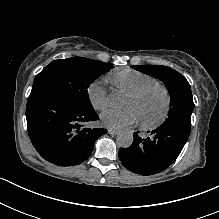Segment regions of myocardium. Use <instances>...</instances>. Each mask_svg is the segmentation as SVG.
<instances>
[{"label": "myocardium", "instance_id": "f54148a6", "mask_svg": "<svg viewBox=\"0 0 219 219\" xmlns=\"http://www.w3.org/2000/svg\"><path fill=\"white\" fill-rule=\"evenodd\" d=\"M154 89H159L163 92L164 97H165V108H164V112H163L161 118L158 121H156L155 123H146V122L140 120V125L145 130L158 129L166 122V120L170 114L171 102H172L170 91L163 84L150 83V84L144 85V86H142V87H140L132 92H129V96L139 97V96L143 95L144 93H146L150 90H154Z\"/></svg>", "mask_w": 219, "mask_h": 219}]
</instances>
